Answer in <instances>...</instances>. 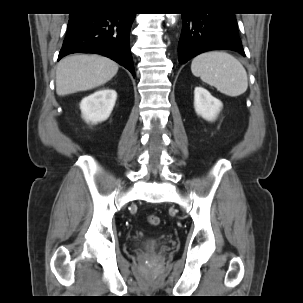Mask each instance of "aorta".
<instances>
[{
  "label": "aorta",
  "mask_w": 303,
  "mask_h": 303,
  "mask_svg": "<svg viewBox=\"0 0 303 303\" xmlns=\"http://www.w3.org/2000/svg\"><path fill=\"white\" fill-rule=\"evenodd\" d=\"M177 20V14H167V21L170 24L175 23V21Z\"/></svg>",
  "instance_id": "obj_1"
}]
</instances>
